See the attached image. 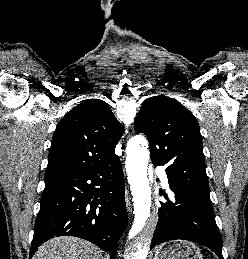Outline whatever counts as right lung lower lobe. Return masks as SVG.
Returning <instances> with one entry per match:
<instances>
[{
	"instance_id": "obj_1",
	"label": "right lung lower lobe",
	"mask_w": 248,
	"mask_h": 259,
	"mask_svg": "<svg viewBox=\"0 0 248 259\" xmlns=\"http://www.w3.org/2000/svg\"><path fill=\"white\" fill-rule=\"evenodd\" d=\"M119 157L80 172L45 179L30 258L54 236L86 239L114 259L128 217Z\"/></svg>"
}]
</instances>
